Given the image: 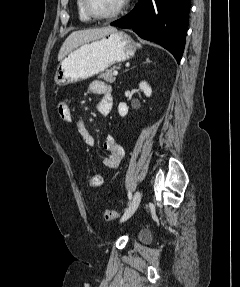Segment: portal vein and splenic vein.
I'll use <instances>...</instances> for the list:
<instances>
[{
  "label": "portal vein and splenic vein",
  "mask_w": 240,
  "mask_h": 287,
  "mask_svg": "<svg viewBox=\"0 0 240 287\" xmlns=\"http://www.w3.org/2000/svg\"><path fill=\"white\" fill-rule=\"evenodd\" d=\"M117 74H118V72H117V71H115V72H114V75H117Z\"/></svg>",
  "instance_id": "18ae733b"
}]
</instances>
